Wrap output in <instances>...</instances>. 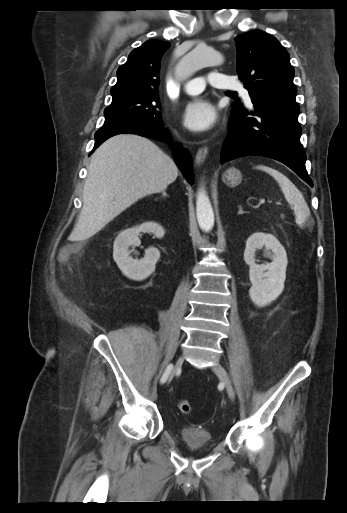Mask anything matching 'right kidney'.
Masks as SVG:
<instances>
[{"label":"right kidney","instance_id":"ca27d5eb","mask_svg":"<svg viewBox=\"0 0 347 513\" xmlns=\"http://www.w3.org/2000/svg\"><path fill=\"white\" fill-rule=\"evenodd\" d=\"M140 232L153 233L156 238H163L165 230L156 222H145L140 226L122 231L115 239L113 246V259L122 273L132 280H143L155 270V264L160 258V252L155 247L146 249L144 258L133 259L129 247L139 246Z\"/></svg>","mask_w":347,"mask_h":513}]
</instances>
